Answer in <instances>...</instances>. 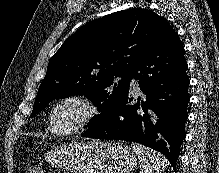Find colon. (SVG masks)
Listing matches in <instances>:
<instances>
[{
	"label": "colon",
	"mask_w": 219,
	"mask_h": 173,
	"mask_svg": "<svg viewBox=\"0 0 219 173\" xmlns=\"http://www.w3.org/2000/svg\"><path fill=\"white\" fill-rule=\"evenodd\" d=\"M27 173H42V170L38 164H33L28 168Z\"/></svg>",
	"instance_id": "1"
}]
</instances>
